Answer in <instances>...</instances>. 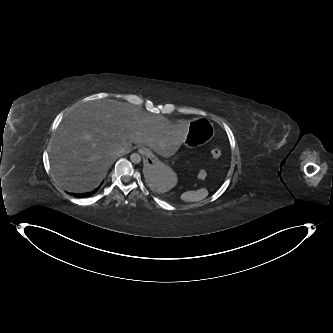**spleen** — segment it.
I'll use <instances>...</instances> for the list:
<instances>
[{
  "mask_svg": "<svg viewBox=\"0 0 333 333\" xmlns=\"http://www.w3.org/2000/svg\"><path fill=\"white\" fill-rule=\"evenodd\" d=\"M208 195V192L206 190L200 189L197 191H188L184 194V196H179L175 194L168 193L169 197L178 198V199H184V200H190V201H199L204 198H206Z\"/></svg>",
  "mask_w": 333,
  "mask_h": 333,
  "instance_id": "spleen-1",
  "label": "spleen"
}]
</instances>
